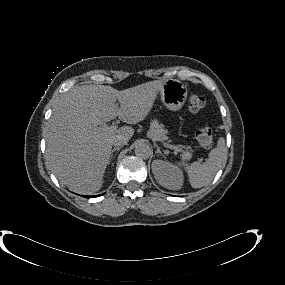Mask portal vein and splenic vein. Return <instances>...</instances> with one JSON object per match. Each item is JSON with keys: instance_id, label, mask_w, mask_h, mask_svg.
Returning a JSON list of instances; mask_svg holds the SVG:
<instances>
[{"instance_id": "18ae733b", "label": "portal vein and splenic vein", "mask_w": 285, "mask_h": 285, "mask_svg": "<svg viewBox=\"0 0 285 285\" xmlns=\"http://www.w3.org/2000/svg\"><path fill=\"white\" fill-rule=\"evenodd\" d=\"M97 130H100V131H111V132H114V131H117V127L115 125H111V126H107V125H104L102 127H96ZM164 147L168 148V149H172L174 150L175 152H181L182 150L177 147V146H174V145H170V144H167V143H162Z\"/></svg>"}]
</instances>
